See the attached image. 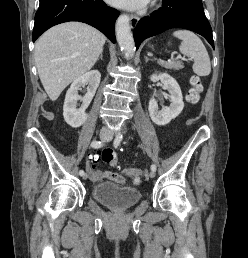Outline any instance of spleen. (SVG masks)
Segmentation results:
<instances>
[{"label":"spleen","mask_w":248,"mask_h":258,"mask_svg":"<svg viewBox=\"0 0 248 258\" xmlns=\"http://www.w3.org/2000/svg\"><path fill=\"white\" fill-rule=\"evenodd\" d=\"M173 35L182 40L180 52L193 59V72L199 76H208L211 72V63L201 39L189 30H178Z\"/></svg>","instance_id":"1"}]
</instances>
